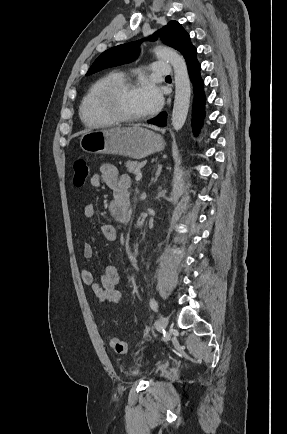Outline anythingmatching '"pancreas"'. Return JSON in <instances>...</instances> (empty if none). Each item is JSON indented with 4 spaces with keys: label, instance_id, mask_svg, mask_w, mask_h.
Segmentation results:
<instances>
[{
    "label": "pancreas",
    "instance_id": "pancreas-1",
    "mask_svg": "<svg viewBox=\"0 0 287 434\" xmlns=\"http://www.w3.org/2000/svg\"><path fill=\"white\" fill-rule=\"evenodd\" d=\"M144 166L143 162L127 161L125 163L126 170L131 174H136Z\"/></svg>",
    "mask_w": 287,
    "mask_h": 434
}]
</instances>
